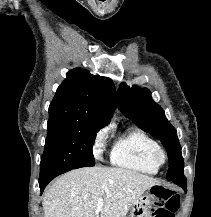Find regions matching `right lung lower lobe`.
Masks as SVG:
<instances>
[{
	"instance_id": "98d812e1",
	"label": "right lung lower lobe",
	"mask_w": 211,
	"mask_h": 217,
	"mask_svg": "<svg viewBox=\"0 0 211 217\" xmlns=\"http://www.w3.org/2000/svg\"><path fill=\"white\" fill-rule=\"evenodd\" d=\"M72 169H63V170H57V171H53V172H49L45 175L40 176L39 178V186H40V190L41 193L43 192L44 188L46 187V185L55 177H57L58 175H61L67 171H70Z\"/></svg>"
}]
</instances>
